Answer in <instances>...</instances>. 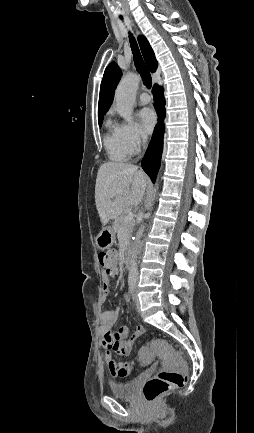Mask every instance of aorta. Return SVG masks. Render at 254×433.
<instances>
[{
	"label": "aorta",
	"mask_w": 254,
	"mask_h": 433,
	"mask_svg": "<svg viewBox=\"0 0 254 433\" xmlns=\"http://www.w3.org/2000/svg\"><path fill=\"white\" fill-rule=\"evenodd\" d=\"M139 82H140V78L136 74L128 73L122 79V81L120 82L116 90L115 100H116L117 111L120 114V116L123 117L127 122L132 121V111L135 103V94ZM156 191H157V182L155 184L154 193H156ZM144 229H145V225H141V227L139 228L136 234L134 249L130 260V268H129V275H128L129 282H136L138 278L136 252H137L139 240L144 232Z\"/></svg>",
	"instance_id": "762f6f07"
}]
</instances>
